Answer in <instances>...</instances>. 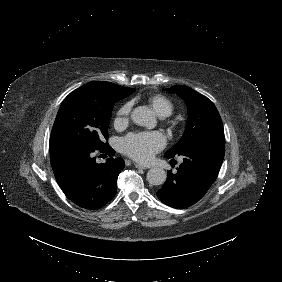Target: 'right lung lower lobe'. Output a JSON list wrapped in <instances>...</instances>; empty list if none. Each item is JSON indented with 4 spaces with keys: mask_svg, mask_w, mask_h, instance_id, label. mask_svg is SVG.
Instances as JSON below:
<instances>
[{
    "mask_svg": "<svg viewBox=\"0 0 282 282\" xmlns=\"http://www.w3.org/2000/svg\"><path fill=\"white\" fill-rule=\"evenodd\" d=\"M95 151L109 156L115 153L109 145L99 149L71 146L50 153L54 175L64 194L89 210L104 206L115 196L118 175L125 167L121 158L98 164Z\"/></svg>",
    "mask_w": 282,
    "mask_h": 282,
    "instance_id": "98d812e1",
    "label": "right lung lower lobe"
}]
</instances>
